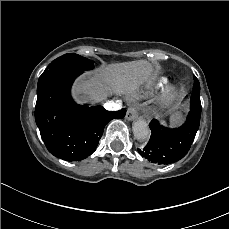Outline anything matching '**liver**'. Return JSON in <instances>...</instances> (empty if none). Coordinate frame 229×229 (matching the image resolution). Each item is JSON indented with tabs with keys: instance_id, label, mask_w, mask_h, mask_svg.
<instances>
[{
	"instance_id": "obj_1",
	"label": "liver",
	"mask_w": 229,
	"mask_h": 229,
	"mask_svg": "<svg viewBox=\"0 0 229 229\" xmlns=\"http://www.w3.org/2000/svg\"><path fill=\"white\" fill-rule=\"evenodd\" d=\"M160 69L159 64L154 68L147 60L103 65L80 76L73 86L72 95L78 103H83L87 100L101 102L112 94H134L142 84L148 88L153 86Z\"/></svg>"
}]
</instances>
